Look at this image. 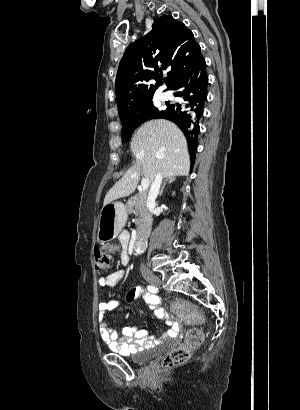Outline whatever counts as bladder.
<instances>
[{"label":"bladder","mask_w":300,"mask_h":410,"mask_svg":"<svg viewBox=\"0 0 300 410\" xmlns=\"http://www.w3.org/2000/svg\"><path fill=\"white\" fill-rule=\"evenodd\" d=\"M166 343L168 342V340L165 341ZM153 356V349H150L144 353L141 354H135L130 356V359L137 364H142L145 363L147 361H149Z\"/></svg>","instance_id":"bladder-1"}]
</instances>
